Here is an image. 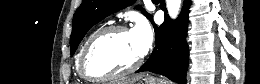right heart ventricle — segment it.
<instances>
[{"label": "right heart ventricle", "instance_id": "e07e8e85", "mask_svg": "<svg viewBox=\"0 0 260 84\" xmlns=\"http://www.w3.org/2000/svg\"><path fill=\"white\" fill-rule=\"evenodd\" d=\"M96 31L94 32H91L86 38L85 40L83 41L82 45L80 46V49L77 53V56H76V60H75V68H76V71L78 72V74L80 75V71H79V63H80V57H81V54H82V51L86 45V43L88 42V40L90 39V37L95 33ZM81 76V75H80Z\"/></svg>", "mask_w": 260, "mask_h": 84}]
</instances>
